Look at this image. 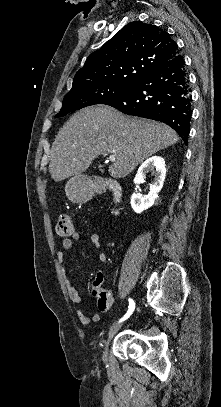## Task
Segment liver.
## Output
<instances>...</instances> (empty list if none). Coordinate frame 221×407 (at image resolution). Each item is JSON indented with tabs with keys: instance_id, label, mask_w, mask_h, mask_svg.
I'll use <instances>...</instances> for the list:
<instances>
[{
	"instance_id": "1",
	"label": "liver",
	"mask_w": 221,
	"mask_h": 407,
	"mask_svg": "<svg viewBox=\"0 0 221 407\" xmlns=\"http://www.w3.org/2000/svg\"><path fill=\"white\" fill-rule=\"evenodd\" d=\"M179 140L169 126L128 117L105 106L76 112L58 132L51 148L49 172L55 182L85 172L99 155L115 156L108 172L123 178L138 164Z\"/></svg>"
}]
</instances>
